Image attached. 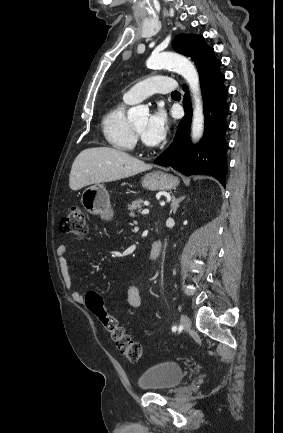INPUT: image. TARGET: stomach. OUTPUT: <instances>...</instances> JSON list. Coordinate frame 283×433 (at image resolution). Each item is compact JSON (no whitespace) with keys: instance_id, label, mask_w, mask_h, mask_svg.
<instances>
[{"instance_id":"0dacf381","label":"stomach","mask_w":283,"mask_h":433,"mask_svg":"<svg viewBox=\"0 0 283 433\" xmlns=\"http://www.w3.org/2000/svg\"><path fill=\"white\" fill-rule=\"evenodd\" d=\"M179 180L172 174L162 172V170H154L145 174L142 180V186L149 190H171L177 186ZM81 202L91 214H100L101 219H109L112 217L113 210L110 204L109 194L100 182H95L92 186L85 188L82 192Z\"/></svg>"}]
</instances>
